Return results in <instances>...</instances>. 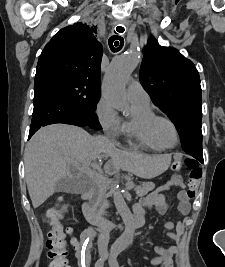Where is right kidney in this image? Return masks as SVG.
<instances>
[{
	"instance_id": "1",
	"label": "right kidney",
	"mask_w": 225,
	"mask_h": 267,
	"mask_svg": "<svg viewBox=\"0 0 225 267\" xmlns=\"http://www.w3.org/2000/svg\"><path fill=\"white\" fill-rule=\"evenodd\" d=\"M62 210H63V211H66V207L64 206V207L62 208Z\"/></svg>"
}]
</instances>
